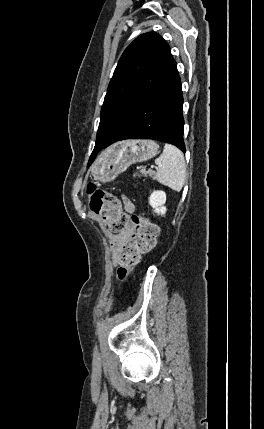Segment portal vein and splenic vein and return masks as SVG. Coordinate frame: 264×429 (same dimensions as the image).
Here are the masks:
<instances>
[{"label": "portal vein and splenic vein", "mask_w": 264, "mask_h": 429, "mask_svg": "<svg viewBox=\"0 0 264 429\" xmlns=\"http://www.w3.org/2000/svg\"><path fill=\"white\" fill-rule=\"evenodd\" d=\"M152 168H157L156 166H152Z\"/></svg>", "instance_id": "1"}]
</instances>
